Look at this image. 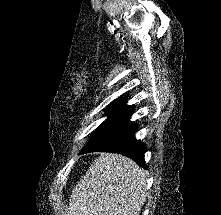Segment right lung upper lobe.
<instances>
[{"label": "right lung upper lobe", "mask_w": 221, "mask_h": 215, "mask_svg": "<svg viewBox=\"0 0 221 215\" xmlns=\"http://www.w3.org/2000/svg\"><path fill=\"white\" fill-rule=\"evenodd\" d=\"M105 112L109 114V116L120 117L124 119L132 114L133 106L126 105V101L124 99H119L110 103Z\"/></svg>", "instance_id": "right-lung-upper-lobe-1"}]
</instances>
